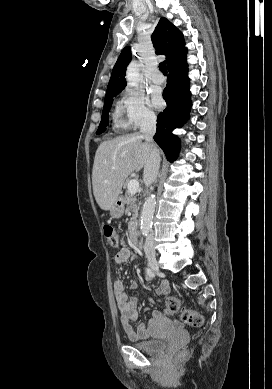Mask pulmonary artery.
Listing matches in <instances>:
<instances>
[{
    "mask_svg": "<svg viewBox=\"0 0 272 389\" xmlns=\"http://www.w3.org/2000/svg\"><path fill=\"white\" fill-rule=\"evenodd\" d=\"M151 80L154 84H162L164 82L162 74H160L158 71L151 75Z\"/></svg>",
    "mask_w": 272,
    "mask_h": 389,
    "instance_id": "pulmonary-artery-1",
    "label": "pulmonary artery"
}]
</instances>
